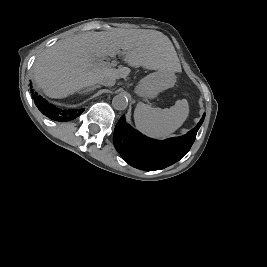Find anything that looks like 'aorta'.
I'll return each instance as SVG.
<instances>
[{
    "label": "aorta",
    "mask_w": 267,
    "mask_h": 267,
    "mask_svg": "<svg viewBox=\"0 0 267 267\" xmlns=\"http://www.w3.org/2000/svg\"><path fill=\"white\" fill-rule=\"evenodd\" d=\"M112 106L116 110H125L128 106V98L120 93L113 98Z\"/></svg>",
    "instance_id": "aorta-1"
}]
</instances>
